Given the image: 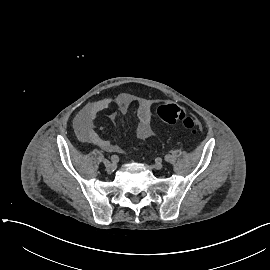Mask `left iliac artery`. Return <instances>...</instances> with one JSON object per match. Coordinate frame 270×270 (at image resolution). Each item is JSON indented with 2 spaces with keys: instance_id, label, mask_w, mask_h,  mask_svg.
Segmentation results:
<instances>
[{
  "instance_id": "obj_1",
  "label": "left iliac artery",
  "mask_w": 270,
  "mask_h": 270,
  "mask_svg": "<svg viewBox=\"0 0 270 270\" xmlns=\"http://www.w3.org/2000/svg\"><path fill=\"white\" fill-rule=\"evenodd\" d=\"M174 157L173 156H171V155H166L165 156V161H167V162H170V163H172V162H174Z\"/></svg>"
}]
</instances>
